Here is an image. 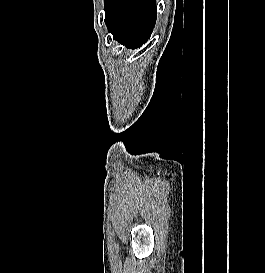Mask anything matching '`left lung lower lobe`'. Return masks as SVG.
<instances>
[{
	"label": "left lung lower lobe",
	"instance_id": "1",
	"mask_svg": "<svg viewBox=\"0 0 265 273\" xmlns=\"http://www.w3.org/2000/svg\"><path fill=\"white\" fill-rule=\"evenodd\" d=\"M108 31L128 48L140 47L156 22V0H105Z\"/></svg>",
	"mask_w": 265,
	"mask_h": 273
}]
</instances>
